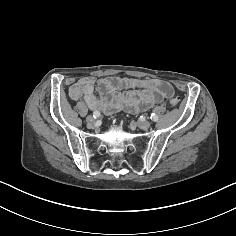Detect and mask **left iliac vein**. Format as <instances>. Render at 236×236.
<instances>
[{"mask_svg":"<svg viewBox=\"0 0 236 236\" xmlns=\"http://www.w3.org/2000/svg\"><path fill=\"white\" fill-rule=\"evenodd\" d=\"M137 126L140 128V129H148L150 127V122L149 121H146V120H141L137 123Z\"/></svg>","mask_w":236,"mask_h":236,"instance_id":"left-iliac-vein-1","label":"left iliac vein"}]
</instances>
